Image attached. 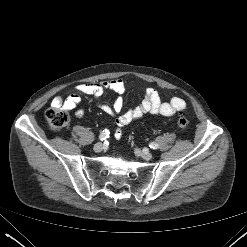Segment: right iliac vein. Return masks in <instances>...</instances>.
Here are the masks:
<instances>
[{
    "mask_svg": "<svg viewBox=\"0 0 247 247\" xmlns=\"http://www.w3.org/2000/svg\"><path fill=\"white\" fill-rule=\"evenodd\" d=\"M103 148H104V145L99 142V143H96L94 145L93 149H94L95 152L99 153V152H101L103 150Z\"/></svg>",
    "mask_w": 247,
    "mask_h": 247,
    "instance_id": "obj_1",
    "label": "right iliac vein"
}]
</instances>
